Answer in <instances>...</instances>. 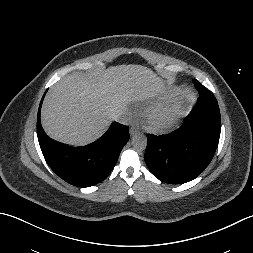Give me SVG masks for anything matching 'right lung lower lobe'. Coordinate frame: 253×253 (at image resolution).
<instances>
[{
    "instance_id": "1",
    "label": "right lung lower lobe",
    "mask_w": 253,
    "mask_h": 253,
    "mask_svg": "<svg viewBox=\"0 0 253 253\" xmlns=\"http://www.w3.org/2000/svg\"><path fill=\"white\" fill-rule=\"evenodd\" d=\"M45 95V94H44ZM40 102L37 116V136L44 158L63 180L78 187H89L103 181L116 164L120 152L129 140L128 128L118 122L95 142L82 147H68L51 140L40 122Z\"/></svg>"
}]
</instances>
